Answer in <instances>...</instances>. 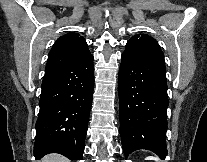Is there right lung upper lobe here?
Masks as SVG:
<instances>
[{
    "label": "right lung upper lobe",
    "instance_id": "right-lung-upper-lobe-1",
    "mask_svg": "<svg viewBox=\"0 0 207 162\" xmlns=\"http://www.w3.org/2000/svg\"><path fill=\"white\" fill-rule=\"evenodd\" d=\"M90 55L82 36L77 33L63 35L55 42L49 53L46 72L73 64Z\"/></svg>",
    "mask_w": 207,
    "mask_h": 162
}]
</instances>
